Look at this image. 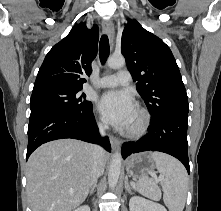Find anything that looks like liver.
<instances>
[{
	"instance_id": "1",
	"label": "liver",
	"mask_w": 221,
	"mask_h": 211,
	"mask_svg": "<svg viewBox=\"0 0 221 211\" xmlns=\"http://www.w3.org/2000/svg\"><path fill=\"white\" fill-rule=\"evenodd\" d=\"M106 152L101 156L105 166ZM93 146L73 139L41 145L27 162V195L32 211H72L92 187Z\"/></svg>"
}]
</instances>
